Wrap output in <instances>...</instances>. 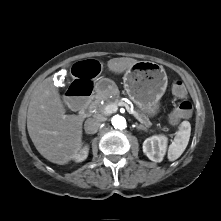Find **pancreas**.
Instances as JSON below:
<instances>
[{
	"mask_svg": "<svg viewBox=\"0 0 221 221\" xmlns=\"http://www.w3.org/2000/svg\"><path fill=\"white\" fill-rule=\"evenodd\" d=\"M99 103V99L95 100L94 102H92L90 105H89V109L90 111H97V112H102L104 113V108L109 105V104H120V105H123L125 106L126 108L129 107L126 103H124L123 101L119 100V99H115L113 102L112 101H109L108 103H106V105H103V106H99L98 105ZM132 114L137 117L138 119H140V122L142 124H144L146 127H149L152 125V123L149 121V119L143 115V114H140L138 113L137 111H133Z\"/></svg>",
	"mask_w": 221,
	"mask_h": 221,
	"instance_id": "pancreas-1",
	"label": "pancreas"
}]
</instances>
